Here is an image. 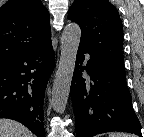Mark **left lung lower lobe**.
I'll list each match as a JSON object with an SVG mask.
<instances>
[{
  "label": "left lung lower lobe",
  "mask_w": 144,
  "mask_h": 137,
  "mask_svg": "<svg viewBox=\"0 0 144 137\" xmlns=\"http://www.w3.org/2000/svg\"><path fill=\"white\" fill-rule=\"evenodd\" d=\"M84 54L90 55L86 67H82ZM85 69L91 78L90 84L82 78ZM70 94L77 137H92L109 131L142 136L123 66L97 57L79 46Z\"/></svg>",
  "instance_id": "1"
}]
</instances>
